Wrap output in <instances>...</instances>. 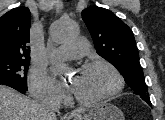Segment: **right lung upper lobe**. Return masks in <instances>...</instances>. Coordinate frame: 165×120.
I'll use <instances>...</instances> for the list:
<instances>
[{"instance_id": "obj_1", "label": "right lung upper lobe", "mask_w": 165, "mask_h": 120, "mask_svg": "<svg viewBox=\"0 0 165 120\" xmlns=\"http://www.w3.org/2000/svg\"><path fill=\"white\" fill-rule=\"evenodd\" d=\"M30 10L17 7L0 18V58H30Z\"/></svg>"}]
</instances>
